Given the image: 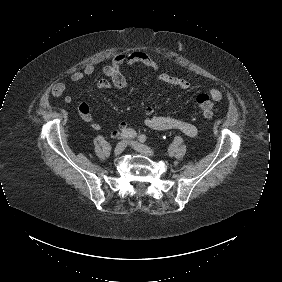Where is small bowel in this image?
Returning <instances> with one entry per match:
<instances>
[{"instance_id":"small-bowel-1","label":"small bowel","mask_w":282,"mask_h":282,"mask_svg":"<svg viewBox=\"0 0 282 282\" xmlns=\"http://www.w3.org/2000/svg\"><path fill=\"white\" fill-rule=\"evenodd\" d=\"M132 65L144 66L155 72L159 71L160 69L159 63L144 52L135 51L128 54H118L109 64L104 67V74L106 75L107 79L98 80L96 83V88L98 90H105L112 86L124 88L127 82L124 76L121 74V67ZM94 72L95 66L93 64H88L81 71L74 72L70 76V80L72 82H79L92 75ZM157 80L163 84L174 86L181 90H188L191 86L189 80L167 73L158 74ZM65 91L66 85L64 83H56L51 88V94L54 97H60L64 95ZM210 97L214 101H219L222 98V93L220 90L213 88L210 90ZM64 101L65 103L70 104L73 102V97L66 95L64 97ZM78 112L81 118L85 122L89 123L93 129L100 130L102 128V125L97 122L91 112L89 105L86 102H81L78 105ZM144 124L148 128L154 130H177L191 138L196 137L198 134L197 127L192 123L172 116L156 115L152 107H147L144 112ZM127 128V122L120 123L118 128L112 131V137L119 136Z\"/></svg>"}]
</instances>
